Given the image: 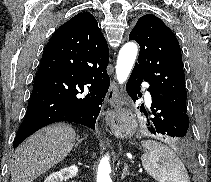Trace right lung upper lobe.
Wrapping results in <instances>:
<instances>
[{"label": "right lung upper lobe", "mask_w": 211, "mask_h": 182, "mask_svg": "<svg viewBox=\"0 0 211 182\" xmlns=\"http://www.w3.org/2000/svg\"><path fill=\"white\" fill-rule=\"evenodd\" d=\"M59 29H63V33L70 34L71 39H75L77 44L107 45L96 19L88 12L77 14L57 30Z\"/></svg>", "instance_id": "cb5924a9"}]
</instances>
